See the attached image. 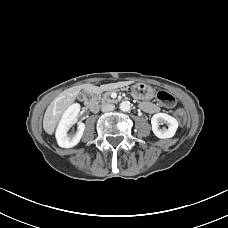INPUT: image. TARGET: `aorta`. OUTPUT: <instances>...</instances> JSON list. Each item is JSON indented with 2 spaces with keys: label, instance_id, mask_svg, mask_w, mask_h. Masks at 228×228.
Returning a JSON list of instances; mask_svg holds the SVG:
<instances>
[{
  "label": "aorta",
  "instance_id": "obj_1",
  "mask_svg": "<svg viewBox=\"0 0 228 228\" xmlns=\"http://www.w3.org/2000/svg\"><path fill=\"white\" fill-rule=\"evenodd\" d=\"M119 108L123 112H128L131 109V104H130L129 101H123V102L120 103Z\"/></svg>",
  "mask_w": 228,
  "mask_h": 228
}]
</instances>
